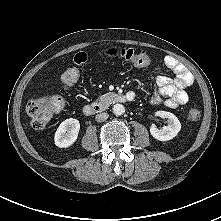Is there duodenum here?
<instances>
[{
	"label": "duodenum",
	"instance_id": "obj_1",
	"mask_svg": "<svg viewBox=\"0 0 221 221\" xmlns=\"http://www.w3.org/2000/svg\"><path fill=\"white\" fill-rule=\"evenodd\" d=\"M135 99L133 94H121L115 97V101L119 103H124L128 101H132ZM104 110L103 105L95 103V104H87L83 107V112L86 115H92L96 113H101Z\"/></svg>",
	"mask_w": 221,
	"mask_h": 221
}]
</instances>
